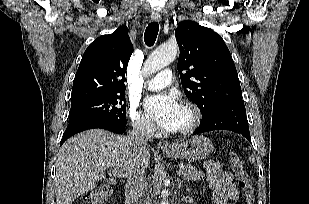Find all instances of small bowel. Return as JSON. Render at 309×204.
I'll list each match as a JSON object with an SVG mask.
<instances>
[{
	"mask_svg": "<svg viewBox=\"0 0 309 204\" xmlns=\"http://www.w3.org/2000/svg\"><path fill=\"white\" fill-rule=\"evenodd\" d=\"M205 168L208 182L214 190V201L216 204H233L234 201L239 199V193L233 183L230 171L223 170L220 163L216 161L207 162Z\"/></svg>",
	"mask_w": 309,
	"mask_h": 204,
	"instance_id": "small-bowel-1",
	"label": "small bowel"
}]
</instances>
